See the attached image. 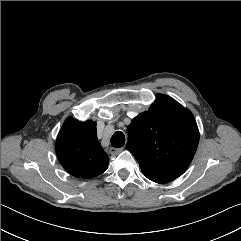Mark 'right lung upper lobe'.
<instances>
[{"label":"right lung upper lobe","instance_id":"obj_1","mask_svg":"<svg viewBox=\"0 0 241 241\" xmlns=\"http://www.w3.org/2000/svg\"><path fill=\"white\" fill-rule=\"evenodd\" d=\"M56 154L64 169L75 177L93 178L108 168V155L98 142L92 121L67 118L57 136Z\"/></svg>","mask_w":241,"mask_h":241}]
</instances>
